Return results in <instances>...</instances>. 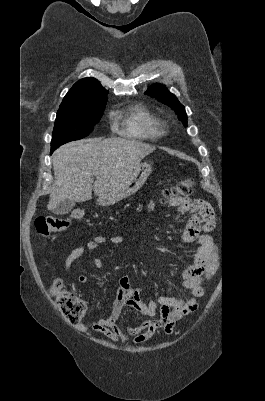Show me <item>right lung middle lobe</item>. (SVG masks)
I'll return each mask as SVG.
<instances>
[{
  "instance_id": "1",
  "label": "right lung middle lobe",
  "mask_w": 265,
  "mask_h": 401,
  "mask_svg": "<svg viewBox=\"0 0 265 401\" xmlns=\"http://www.w3.org/2000/svg\"><path fill=\"white\" fill-rule=\"evenodd\" d=\"M106 102L107 99H102L60 106L54 124L51 150L88 136L101 119Z\"/></svg>"
}]
</instances>
